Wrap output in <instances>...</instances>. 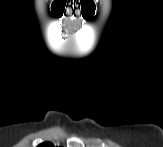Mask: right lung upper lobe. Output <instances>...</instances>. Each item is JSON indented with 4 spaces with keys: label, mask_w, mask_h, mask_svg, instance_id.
I'll use <instances>...</instances> for the list:
<instances>
[{
    "label": "right lung upper lobe",
    "mask_w": 163,
    "mask_h": 147,
    "mask_svg": "<svg viewBox=\"0 0 163 147\" xmlns=\"http://www.w3.org/2000/svg\"><path fill=\"white\" fill-rule=\"evenodd\" d=\"M38 147H53V145L49 142H45V143L40 144Z\"/></svg>",
    "instance_id": "1"
}]
</instances>
